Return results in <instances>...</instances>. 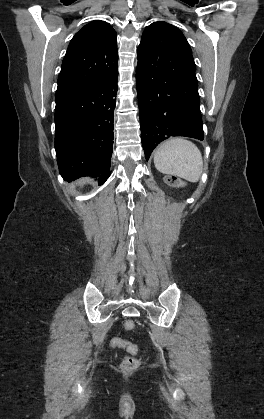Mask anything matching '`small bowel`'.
Returning a JSON list of instances; mask_svg holds the SVG:
<instances>
[{
    "mask_svg": "<svg viewBox=\"0 0 264 419\" xmlns=\"http://www.w3.org/2000/svg\"><path fill=\"white\" fill-rule=\"evenodd\" d=\"M117 339H118V338H114V339L112 340L111 345H112L113 347H115L114 343H115V341H116Z\"/></svg>",
    "mask_w": 264,
    "mask_h": 419,
    "instance_id": "1",
    "label": "small bowel"
}]
</instances>
